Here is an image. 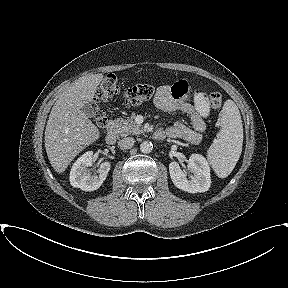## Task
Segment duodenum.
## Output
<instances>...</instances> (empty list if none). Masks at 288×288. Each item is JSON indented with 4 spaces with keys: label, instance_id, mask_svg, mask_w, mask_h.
Segmentation results:
<instances>
[{
    "label": "duodenum",
    "instance_id": "obj_1",
    "mask_svg": "<svg viewBox=\"0 0 288 288\" xmlns=\"http://www.w3.org/2000/svg\"><path fill=\"white\" fill-rule=\"evenodd\" d=\"M153 137L156 140H164L166 138V133L163 130L155 131ZM117 139V127L113 121L108 122L107 124V134H106V142L109 145H113Z\"/></svg>",
    "mask_w": 288,
    "mask_h": 288
}]
</instances>
